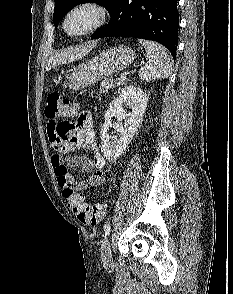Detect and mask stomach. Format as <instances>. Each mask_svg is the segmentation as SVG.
<instances>
[{
    "mask_svg": "<svg viewBox=\"0 0 233 294\" xmlns=\"http://www.w3.org/2000/svg\"><path fill=\"white\" fill-rule=\"evenodd\" d=\"M134 56V51L125 45L107 49L75 67L66 76L68 81L65 87L79 90L93 85L97 81L128 67L133 62Z\"/></svg>",
    "mask_w": 233,
    "mask_h": 294,
    "instance_id": "0dacf381",
    "label": "stomach"
}]
</instances>
